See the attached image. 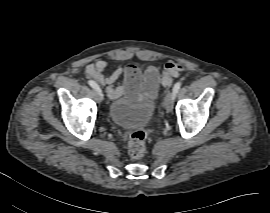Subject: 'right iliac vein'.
Wrapping results in <instances>:
<instances>
[{
    "instance_id": "right-iliac-vein-1",
    "label": "right iliac vein",
    "mask_w": 270,
    "mask_h": 213,
    "mask_svg": "<svg viewBox=\"0 0 270 213\" xmlns=\"http://www.w3.org/2000/svg\"><path fill=\"white\" fill-rule=\"evenodd\" d=\"M93 96L95 98V100H97L98 102H100L101 98L98 92H93Z\"/></svg>"
}]
</instances>
